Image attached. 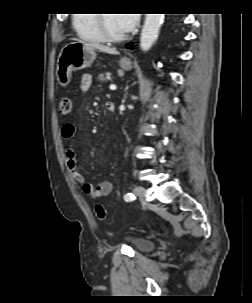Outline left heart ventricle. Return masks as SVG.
I'll return each mask as SVG.
<instances>
[{
    "label": "left heart ventricle",
    "instance_id": "obj_1",
    "mask_svg": "<svg viewBox=\"0 0 252 303\" xmlns=\"http://www.w3.org/2000/svg\"><path fill=\"white\" fill-rule=\"evenodd\" d=\"M117 14H105L106 28L113 34H123L126 31L122 28Z\"/></svg>",
    "mask_w": 252,
    "mask_h": 303
}]
</instances>
